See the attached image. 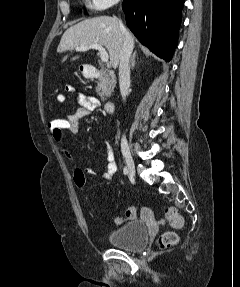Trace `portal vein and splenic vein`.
<instances>
[{
  "label": "portal vein and splenic vein",
  "mask_w": 240,
  "mask_h": 287,
  "mask_svg": "<svg viewBox=\"0 0 240 287\" xmlns=\"http://www.w3.org/2000/svg\"><path fill=\"white\" fill-rule=\"evenodd\" d=\"M89 49H96V50H98L99 54H100L101 61L104 62V63L108 62V59H109L108 53L105 50V48L102 45H100V44H91V45H88V46H81V47L76 48L77 51H86V50H89Z\"/></svg>",
  "instance_id": "1"
}]
</instances>
